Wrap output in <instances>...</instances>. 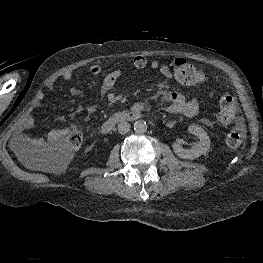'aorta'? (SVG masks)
Listing matches in <instances>:
<instances>
[{
	"label": "aorta",
	"instance_id": "1",
	"mask_svg": "<svg viewBox=\"0 0 263 263\" xmlns=\"http://www.w3.org/2000/svg\"><path fill=\"white\" fill-rule=\"evenodd\" d=\"M148 125L144 120H138L134 123V130L136 133H144L147 131Z\"/></svg>",
	"mask_w": 263,
	"mask_h": 263
}]
</instances>
